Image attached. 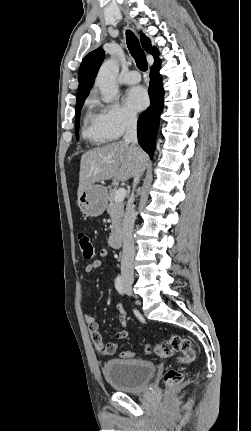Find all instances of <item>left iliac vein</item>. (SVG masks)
I'll return each mask as SVG.
<instances>
[{"label":"left iliac vein","mask_w":251,"mask_h":431,"mask_svg":"<svg viewBox=\"0 0 251 431\" xmlns=\"http://www.w3.org/2000/svg\"><path fill=\"white\" fill-rule=\"evenodd\" d=\"M126 293H127L128 295H131V292H129L127 289H126Z\"/></svg>","instance_id":"1"}]
</instances>
